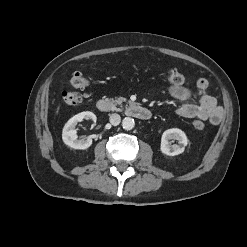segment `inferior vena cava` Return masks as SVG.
<instances>
[{
    "mask_svg": "<svg viewBox=\"0 0 247 247\" xmlns=\"http://www.w3.org/2000/svg\"><path fill=\"white\" fill-rule=\"evenodd\" d=\"M109 121L112 125L117 126L121 122V117L119 114H111L109 117Z\"/></svg>",
    "mask_w": 247,
    "mask_h": 247,
    "instance_id": "inferior-vena-cava-1",
    "label": "inferior vena cava"
}]
</instances>
